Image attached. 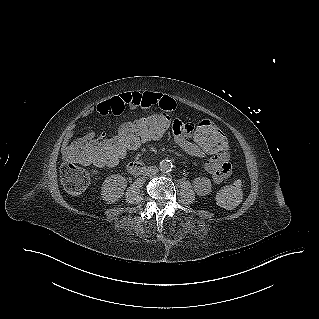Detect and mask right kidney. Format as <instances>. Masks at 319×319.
Listing matches in <instances>:
<instances>
[{"mask_svg":"<svg viewBox=\"0 0 319 319\" xmlns=\"http://www.w3.org/2000/svg\"><path fill=\"white\" fill-rule=\"evenodd\" d=\"M127 180L120 174L107 177L101 187L102 199L107 203H115L124 195Z\"/></svg>","mask_w":319,"mask_h":319,"instance_id":"right-kidney-1","label":"right kidney"}]
</instances>
